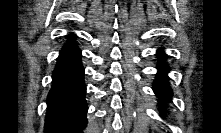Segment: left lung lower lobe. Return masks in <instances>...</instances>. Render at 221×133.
<instances>
[{"mask_svg":"<svg viewBox=\"0 0 221 133\" xmlns=\"http://www.w3.org/2000/svg\"><path fill=\"white\" fill-rule=\"evenodd\" d=\"M158 55H164V53L159 50ZM158 74L157 78L153 84V90L156 96L159 98V106L163 109L165 103L170 99L172 96V89L168 84V78L166 73L168 72L169 68L164 62H160L158 64Z\"/></svg>","mask_w":221,"mask_h":133,"instance_id":"1","label":"left lung lower lobe"}]
</instances>
